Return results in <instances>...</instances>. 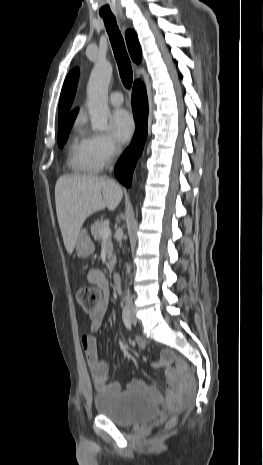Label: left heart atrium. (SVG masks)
<instances>
[{
    "instance_id": "1",
    "label": "left heart atrium",
    "mask_w": 263,
    "mask_h": 465,
    "mask_svg": "<svg viewBox=\"0 0 263 465\" xmlns=\"http://www.w3.org/2000/svg\"><path fill=\"white\" fill-rule=\"evenodd\" d=\"M110 123L115 137L120 141H127L134 130V121L131 114L124 108L113 111Z\"/></svg>"
}]
</instances>
